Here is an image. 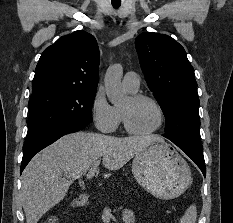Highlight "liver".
Masks as SVG:
<instances>
[{
  "instance_id": "obj_1",
  "label": "liver",
  "mask_w": 233,
  "mask_h": 223,
  "mask_svg": "<svg viewBox=\"0 0 233 223\" xmlns=\"http://www.w3.org/2000/svg\"><path fill=\"white\" fill-rule=\"evenodd\" d=\"M152 141H164L160 135H129L113 137L104 133H68L32 157L21 175V201L26 223H38L42 215L62 201L68 189L80 179L93 163L107 169L108 179L121 169L136 153Z\"/></svg>"
}]
</instances>
